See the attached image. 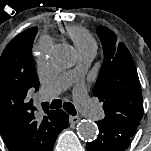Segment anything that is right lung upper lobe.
I'll return each instance as SVG.
<instances>
[{
	"mask_svg": "<svg viewBox=\"0 0 151 151\" xmlns=\"http://www.w3.org/2000/svg\"><path fill=\"white\" fill-rule=\"evenodd\" d=\"M24 32L12 39L3 53L24 47ZM38 89L35 67L18 80L10 79L0 72V131L10 151L53 150L56 140L52 131L55 111L43 105L44 112L38 116L33 100L27 97L28 93Z\"/></svg>",
	"mask_w": 151,
	"mask_h": 151,
	"instance_id": "cb5924a9",
	"label": "right lung upper lobe"
}]
</instances>
